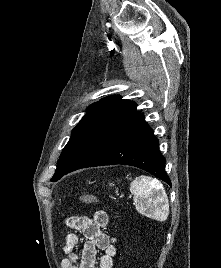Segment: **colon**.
Segmentation results:
<instances>
[{
    "label": "colon",
    "mask_w": 221,
    "mask_h": 268,
    "mask_svg": "<svg viewBox=\"0 0 221 268\" xmlns=\"http://www.w3.org/2000/svg\"><path fill=\"white\" fill-rule=\"evenodd\" d=\"M79 200L83 204H92L96 201V197L93 195H84V196H81Z\"/></svg>",
    "instance_id": "obj_1"
}]
</instances>
